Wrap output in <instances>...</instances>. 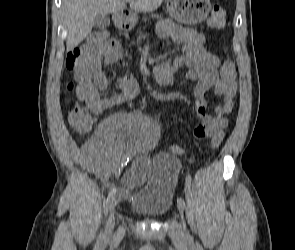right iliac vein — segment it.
I'll return each mask as SVG.
<instances>
[{"mask_svg":"<svg viewBox=\"0 0 295 250\" xmlns=\"http://www.w3.org/2000/svg\"><path fill=\"white\" fill-rule=\"evenodd\" d=\"M119 201V196L115 198L114 202L111 206V212L107 220L106 230H105V237L109 239L112 235L114 225H115V206Z\"/></svg>","mask_w":295,"mask_h":250,"instance_id":"right-iliac-vein-1","label":"right iliac vein"}]
</instances>
